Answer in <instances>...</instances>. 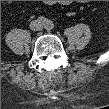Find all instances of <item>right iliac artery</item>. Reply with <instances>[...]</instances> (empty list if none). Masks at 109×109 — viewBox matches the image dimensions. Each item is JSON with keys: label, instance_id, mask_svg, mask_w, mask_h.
<instances>
[{"label": "right iliac artery", "instance_id": "82829eb1", "mask_svg": "<svg viewBox=\"0 0 109 109\" xmlns=\"http://www.w3.org/2000/svg\"><path fill=\"white\" fill-rule=\"evenodd\" d=\"M38 21H39V23H41V24H45V23L47 22L46 18H44V17H42V16H40V17L38 18Z\"/></svg>", "mask_w": 109, "mask_h": 109}]
</instances>
